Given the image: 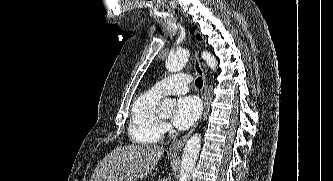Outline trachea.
<instances>
[{"label": "trachea", "instance_id": "trachea-1", "mask_svg": "<svg viewBox=\"0 0 333 181\" xmlns=\"http://www.w3.org/2000/svg\"><path fill=\"white\" fill-rule=\"evenodd\" d=\"M196 86L198 87V88H202V86H203V80H202V78L201 77H198L197 79H196Z\"/></svg>", "mask_w": 333, "mask_h": 181}]
</instances>
